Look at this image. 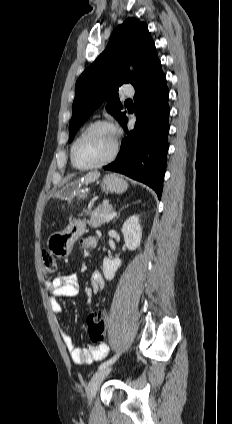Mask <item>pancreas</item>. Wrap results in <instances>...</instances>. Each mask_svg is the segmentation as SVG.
<instances>
[{"mask_svg": "<svg viewBox=\"0 0 232 424\" xmlns=\"http://www.w3.org/2000/svg\"><path fill=\"white\" fill-rule=\"evenodd\" d=\"M113 211V207L109 204H102L91 212L90 220L88 224L91 227L97 228L105 223H109L110 220L106 219V216Z\"/></svg>", "mask_w": 232, "mask_h": 424, "instance_id": "1", "label": "pancreas"}]
</instances>
